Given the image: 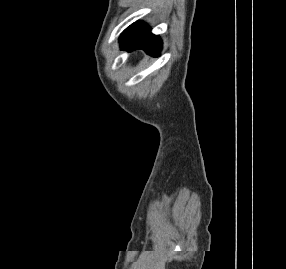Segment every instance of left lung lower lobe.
<instances>
[{"label": "left lung lower lobe", "instance_id": "left-lung-lower-lobe-1", "mask_svg": "<svg viewBox=\"0 0 286 269\" xmlns=\"http://www.w3.org/2000/svg\"><path fill=\"white\" fill-rule=\"evenodd\" d=\"M121 49H143L147 54L159 56L162 42L159 37L150 32V28L143 22H136L129 26L120 37Z\"/></svg>", "mask_w": 286, "mask_h": 269}]
</instances>
